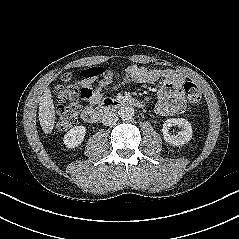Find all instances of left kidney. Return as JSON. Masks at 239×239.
<instances>
[{"instance_id":"1","label":"left kidney","mask_w":239,"mask_h":239,"mask_svg":"<svg viewBox=\"0 0 239 239\" xmlns=\"http://www.w3.org/2000/svg\"><path fill=\"white\" fill-rule=\"evenodd\" d=\"M175 125L181 127V131H179L177 135H170L169 129ZM162 132L164 140L174 146H180L189 142L193 135L190 122L184 118L167 119L163 124Z\"/></svg>"}]
</instances>
